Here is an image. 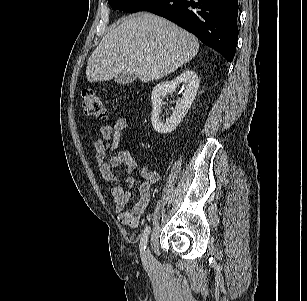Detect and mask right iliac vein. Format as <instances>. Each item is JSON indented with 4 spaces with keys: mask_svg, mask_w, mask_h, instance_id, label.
I'll return each instance as SVG.
<instances>
[{
    "mask_svg": "<svg viewBox=\"0 0 307 301\" xmlns=\"http://www.w3.org/2000/svg\"><path fill=\"white\" fill-rule=\"evenodd\" d=\"M144 259H145V263H146L148 266H153V265L155 264L154 257H153V255L151 254V252H150L149 249H147V250L145 251Z\"/></svg>",
    "mask_w": 307,
    "mask_h": 301,
    "instance_id": "1",
    "label": "right iliac vein"
}]
</instances>
